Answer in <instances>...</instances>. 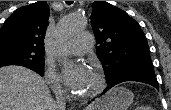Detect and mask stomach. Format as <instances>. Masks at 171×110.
<instances>
[{
	"label": "stomach",
	"mask_w": 171,
	"mask_h": 110,
	"mask_svg": "<svg viewBox=\"0 0 171 110\" xmlns=\"http://www.w3.org/2000/svg\"><path fill=\"white\" fill-rule=\"evenodd\" d=\"M133 98L131 91L123 87H115L103 97L96 110H128Z\"/></svg>",
	"instance_id": "stomach-1"
}]
</instances>
